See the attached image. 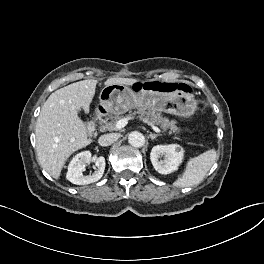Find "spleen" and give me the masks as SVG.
<instances>
[{
    "mask_svg": "<svg viewBox=\"0 0 264 264\" xmlns=\"http://www.w3.org/2000/svg\"><path fill=\"white\" fill-rule=\"evenodd\" d=\"M216 158L215 149H210L197 157L189 159L184 172L174 181L173 185L184 188L199 184L215 163Z\"/></svg>",
    "mask_w": 264,
    "mask_h": 264,
    "instance_id": "spleen-1",
    "label": "spleen"
}]
</instances>
